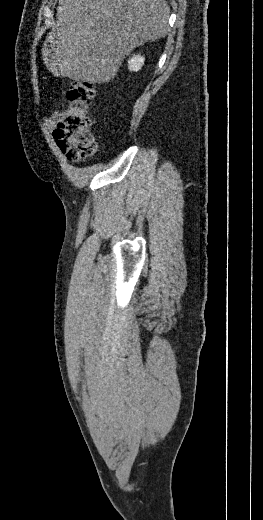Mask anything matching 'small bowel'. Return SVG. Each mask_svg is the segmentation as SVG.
Masks as SVG:
<instances>
[{"label": "small bowel", "mask_w": 263, "mask_h": 520, "mask_svg": "<svg viewBox=\"0 0 263 520\" xmlns=\"http://www.w3.org/2000/svg\"><path fill=\"white\" fill-rule=\"evenodd\" d=\"M60 120H61V113L55 112L53 115H51L50 117H48L44 120L45 128L48 131H52L56 127V125L59 123Z\"/></svg>", "instance_id": "small-bowel-1"}]
</instances>
